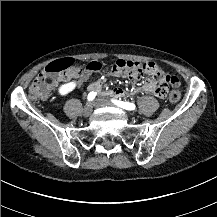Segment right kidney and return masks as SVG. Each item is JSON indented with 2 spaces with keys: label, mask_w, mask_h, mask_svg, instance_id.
<instances>
[{
  "label": "right kidney",
  "mask_w": 217,
  "mask_h": 217,
  "mask_svg": "<svg viewBox=\"0 0 217 217\" xmlns=\"http://www.w3.org/2000/svg\"><path fill=\"white\" fill-rule=\"evenodd\" d=\"M76 87V83L75 82H70V83H67V84H64L60 87L59 91L61 93H69L70 91L74 90Z\"/></svg>",
  "instance_id": "1"
}]
</instances>
